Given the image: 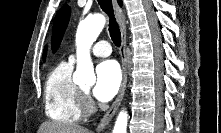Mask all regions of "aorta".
<instances>
[{
  "mask_svg": "<svg viewBox=\"0 0 221 133\" xmlns=\"http://www.w3.org/2000/svg\"><path fill=\"white\" fill-rule=\"evenodd\" d=\"M106 19L101 14L87 17L78 25L76 32L77 69L73 81L92 85L96 81L94 67L90 57V48L103 30ZM128 113L120 111L112 133H127Z\"/></svg>",
  "mask_w": 221,
  "mask_h": 133,
  "instance_id": "762f6f07",
  "label": "aorta"
}]
</instances>
